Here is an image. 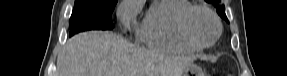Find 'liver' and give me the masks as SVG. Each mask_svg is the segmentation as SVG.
<instances>
[{"instance_id": "liver-1", "label": "liver", "mask_w": 287, "mask_h": 76, "mask_svg": "<svg viewBox=\"0 0 287 76\" xmlns=\"http://www.w3.org/2000/svg\"><path fill=\"white\" fill-rule=\"evenodd\" d=\"M194 60L141 49L112 32L90 31L68 40L57 57V76H182Z\"/></svg>"}]
</instances>
